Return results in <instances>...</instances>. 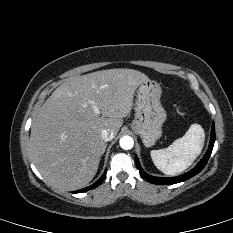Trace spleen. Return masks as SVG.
Masks as SVG:
<instances>
[{
    "instance_id": "3e777b00",
    "label": "spleen",
    "mask_w": 233,
    "mask_h": 233,
    "mask_svg": "<svg viewBox=\"0 0 233 233\" xmlns=\"http://www.w3.org/2000/svg\"><path fill=\"white\" fill-rule=\"evenodd\" d=\"M205 140L203 128L192 124L185 135L165 149L150 152L154 165L166 175L186 170L202 151Z\"/></svg>"
}]
</instances>
